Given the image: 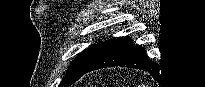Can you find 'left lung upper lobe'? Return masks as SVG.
<instances>
[{
    "label": "left lung upper lobe",
    "instance_id": "5c2ea615",
    "mask_svg": "<svg viewBox=\"0 0 205 87\" xmlns=\"http://www.w3.org/2000/svg\"><path fill=\"white\" fill-rule=\"evenodd\" d=\"M103 44L104 42H100L80 53L75 61L70 65L65 77L58 87H69L77 81L81 77L82 73L92 63Z\"/></svg>",
    "mask_w": 205,
    "mask_h": 87
}]
</instances>
